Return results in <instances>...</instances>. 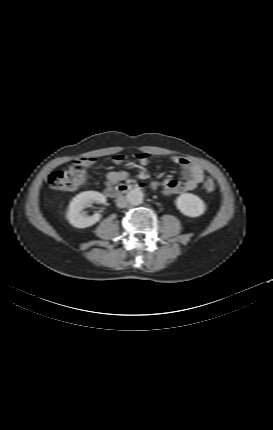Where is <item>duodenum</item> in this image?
Listing matches in <instances>:
<instances>
[{"mask_svg":"<svg viewBox=\"0 0 273 430\" xmlns=\"http://www.w3.org/2000/svg\"><path fill=\"white\" fill-rule=\"evenodd\" d=\"M138 185L132 183H122L119 185H110L106 189V194L111 198H117L124 194H127L133 190H136Z\"/></svg>","mask_w":273,"mask_h":430,"instance_id":"410a0bca","label":"duodenum"}]
</instances>
